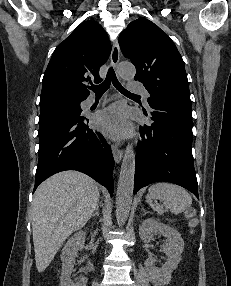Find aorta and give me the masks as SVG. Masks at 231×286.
Here are the masks:
<instances>
[{"label": "aorta", "instance_id": "1", "mask_svg": "<svg viewBox=\"0 0 231 286\" xmlns=\"http://www.w3.org/2000/svg\"><path fill=\"white\" fill-rule=\"evenodd\" d=\"M118 74L124 80H131L136 70L131 63H121L118 66ZM134 175L135 153L133 144L128 143L121 164L116 197V219L119 226L124 225L129 216L134 190Z\"/></svg>", "mask_w": 231, "mask_h": 286}]
</instances>
